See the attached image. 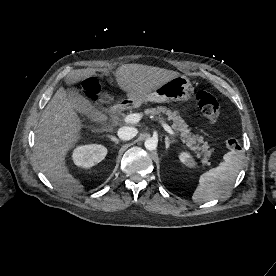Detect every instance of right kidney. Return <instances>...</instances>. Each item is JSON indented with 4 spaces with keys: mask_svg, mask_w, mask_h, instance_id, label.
Masks as SVG:
<instances>
[{
    "mask_svg": "<svg viewBox=\"0 0 276 276\" xmlns=\"http://www.w3.org/2000/svg\"><path fill=\"white\" fill-rule=\"evenodd\" d=\"M107 155V148L99 144H89L77 147L73 151L75 165L83 168H91L101 162Z\"/></svg>",
    "mask_w": 276,
    "mask_h": 276,
    "instance_id": "ca27d5eb",
    "label": "right kidney"
}]
</instances>
